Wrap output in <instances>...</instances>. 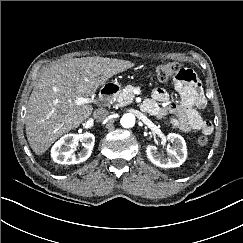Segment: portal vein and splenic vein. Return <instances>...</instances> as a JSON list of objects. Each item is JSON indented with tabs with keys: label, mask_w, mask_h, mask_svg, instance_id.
Instances as JSON below:
<instances>
[{
	"label": "portal vein and splenic vein",
	"mask_w": 243,
	"mask_h": 243,
	"mask_svg": "<svg viewBox=\"0 0 243 243\" xmlns=\"http://www.w3.org/2000/svg\"><path fill=\"white\" fill-rule=\"evenodd\" d=\"M92 102L96 103L98 101L94 98H89V97H80L75 100V103L77 105H83V104L92 103Z\"/></svg>",
	"instance_id": "1"
}]
</instances>
